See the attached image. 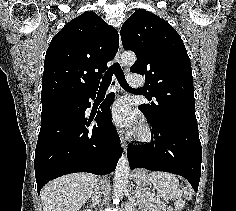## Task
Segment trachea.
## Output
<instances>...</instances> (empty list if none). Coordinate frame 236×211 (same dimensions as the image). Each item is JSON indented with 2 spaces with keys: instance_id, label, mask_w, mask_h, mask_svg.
Listing matches in <instances>:
<instances>
[{
  "instance_id": "3493384b",
  "label": "trachea",
  "mask_w": 236,
  "mask_h": 211,
  "mask_svg": "<svg viewBox=\"0 0 236 211\" xmlns=\"http://www.w3.org/2000/svg\"><path fill=\"white\" fill-rule=\"evenodd\" d=\"M113 74H115L120 86L124 89L131 90L132 88L127 84L123 70L118 63H114L106 72L100 83V89H107L111 83Z\"/></svg>"
}]
</instances>
